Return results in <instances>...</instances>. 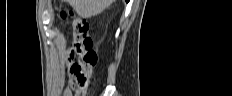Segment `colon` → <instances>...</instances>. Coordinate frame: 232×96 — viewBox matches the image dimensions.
<instances>
[{
  "instance_id": "1",
  "label": "colon",
  "mask_w": 232,
  "mask_h": 96,
  "mask_svg": "<svg viewBox=\"0 0 232 96\" xmlns=\"http://www.w3.org/2000/svg\"><path fill=\"white\" fill-rule=\"evenodd\" d=\"M63 19H70L74 35L72 57L77 56L78 61L70 67V73L77 78V96L85 95V90L89 84V77L86 76L82 67H95L98 63V53L94 48L93 40L89 37V23L87 20L75 16L71 11L61 13Z\"/></svg>"
}]
</instances>
